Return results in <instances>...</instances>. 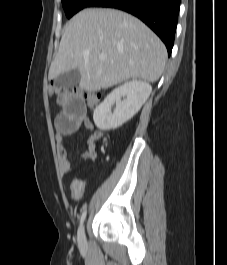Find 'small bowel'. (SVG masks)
Returning a JSON list of instances; mask_svg holds the SVG:
<instances>
[{
  "label": "small bowel",
  "mask_w": 227,
  "mask_h": 265,
  "mask_svg": "<svg viewBox=\"0 0 227 265\" xmlns=\"http://www.w3.org/2000/svg\"><path fill=\"white\" fill-rule=\"evenodd\" d=\"M62 96H56L57 104H64L63 110L55 120L57 138L59 142L66 136L75 133L82 125L91 131L87 139V149L81 154V158L86 161H93L97 157L96 142L103 136L100 130L94 129L93 123L87 117V105L85 96H81V91H76V87H60ZM59 160L63 175L71 171L72 163L64 146L59 147ZM85 181L75 178L71 181L70 192L74 200H80L85 193Z\"/></svg>",
  "instance_id": "obj_1"
}]
</instances>
